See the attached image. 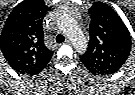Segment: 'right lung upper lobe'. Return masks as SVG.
Masks as SVG:
<instances>
[{"label":"right lung upper lobe","mask_w":135,"mask_h":95,"mask_svg":"<svg viewBox=\"0 0 135 95\" xmlns=\"http://www.w3.org/2000/svg\"><path fill=\"white\" fill-rule=\"evenodd\" d=\"M44 13L39 7L18 6L4 25L0 48L9 65L18 72L38 74L53 55L44 45Z\"/></svg>","instance_id":"cb5924a9"}]
</instances>
